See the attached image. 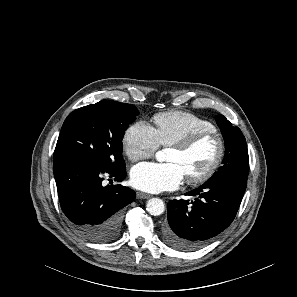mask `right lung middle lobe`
I'll return each instance as SVG.
<instances>
[{
	"label": "right lung middle lobe",
	"mask_w": 297,
	"mask_h": 297,
	"mask_svg": "<svg viewBox=\"0 0 297 297\" xmlns=\"http://www.w3.org/2000/svg\"><path fill=\"white\" fill-rule=\"evenodd\" d=\"M138 114L134 105L109 100L76 109L62 126L53 160H81L106 171L125 169L121 141Z\"/></svg>",
	"instance_id": "right-lung-middle-lobe-1"
}]
</instances>
